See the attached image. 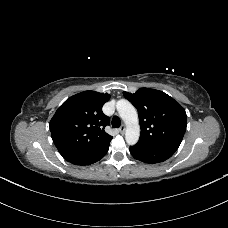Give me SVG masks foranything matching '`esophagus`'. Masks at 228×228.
I'll return each mask as SVG.
<instances>
[{
	"mask_svg": "<svg viewBox=\"0 0 228 228\" xmlns=\"http://www.w3.org/2000/svg\"><path fill=\"white\" fill-rule=\"evenodd\" d=\"M125 129H126L125 125L124 124L121 125V127L119 128L120 134H124L125 133Z\"/></svg>",
	"mask_w": 228,
	"mask_h": 228,
	"instance_id": "1",
	"label": "esophagus"
}]
</instances>
